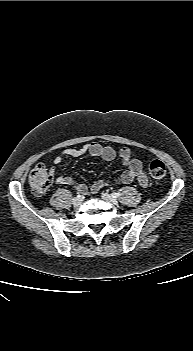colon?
Masks as SVG:
<instances>
[{
	"label": "colon",
	"mask_w": 193,
	"mask_h": 351,
	"mask_svg": "<svg viewBox=\"0 0 193 351\" xmlns=\"http://www.w3.org/2000/svg\"><path fill=\"white\" fill-rule=\"evenodd\" d=\"M149 173L153 179L163 180L167 175V168L163 161L153 160L149 165ZM53 176L47 167L38 164L29 175V184L37 195H44L49 189Z\"/></svg>",
	"instance_id": "5ec220e1"
}]
</instances>
